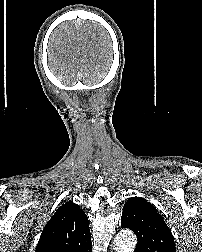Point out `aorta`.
Wrapping results in <instances>:
<instances>
[{"mask_svg": "<svg viewBox=\"0 0 202 252\" xmlns=\"http://www.w3.org/2000/svg\"><path fill=\"white\" fill-rule=\"evenodd\" d=\"M137 238L135 234L127 229L121 230L114 238V249L116 252H134Z\"/></svg>", "mask_w": 202, "mask_h": 252, "instance_id": "1", "label": "aorta"}]
</instances>
